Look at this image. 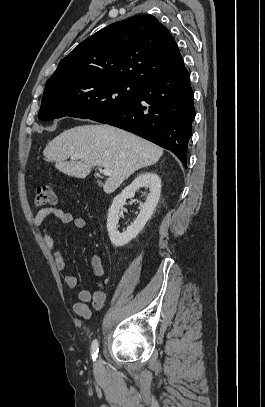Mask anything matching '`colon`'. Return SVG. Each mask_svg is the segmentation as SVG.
<instances>
[{
  "instance_id": "colon-1",
  "label": "colon",
  "mask_w": 265,
  "mask_h": 407,
  "mask_svg": "<svg viewBox=\"0 0 265 407\" xmlns=\"http://www.w3.org/2000/svg\"><path fill=\"white\" fill-rule=\"evenodd\" d=\"M56 193L49 185H39L36 189L35 204L37 206H45L54 203Z\"/></svg>"
}]
</instances>
